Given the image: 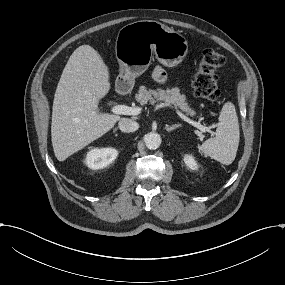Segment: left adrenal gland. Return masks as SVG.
<instances>
[{
  "mask_svg": "<svg viewBox=\"0 0 285 285\" xmlns=\"http://www.w3.org/2000/svg\"><path fill=\"white\" fill-rule=\"evenodd\" d=\"M178 128H182L181 125L179 124H176V125H173V126H169L168 124L165 125V129L167 132H171L172 130H175V129H178Z\"/></svg>",
  "mask_w": 285,
  "mask_h": 285,
  "instance_id": "left-adrenal-gland-1",
  "label": "left adrenal gland"
}]
</instances>
